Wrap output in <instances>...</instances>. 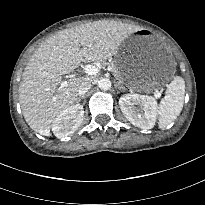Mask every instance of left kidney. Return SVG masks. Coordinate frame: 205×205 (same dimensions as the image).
<instances>
[{"label":"left kidney","instance_id":"1","mask_svg":"<svg viewBox=\"0 0 205 205\" xmlns=\"http://www.w3.org/2000/svg\"><path fill=\"white\" fill-rule=\"evenodd\" d=\"M119 106L126 119L141 129L154 127L158 106L154 97L139 94H125L119 99Z\"/></svg>","mask_w":205,"mask_h":205}]
</instances>
